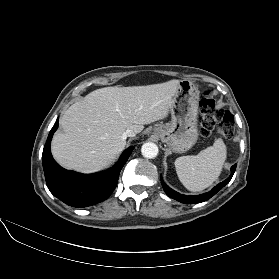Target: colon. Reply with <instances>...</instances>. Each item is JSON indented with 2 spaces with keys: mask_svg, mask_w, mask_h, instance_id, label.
I'll return each mask as SVG.
<instances>
[{
  "mask_svg": "<svg viewBox=\"0 0 279 279\" xmlns=\"http://www.w3.org/2000/svg\"><path fill=\"white\" fill-rule=\"evenodd\" d=\"M199 128L203 136L216 133L231 138L234 131V119L231 113L218 107L216 100L207 92L200 103Z\"/></svg>",
  "mask_w": 279,
  "mask_h": 279,
  "instance_id": "5ec220e1",
  "label": "colon"
}]
</instances>
